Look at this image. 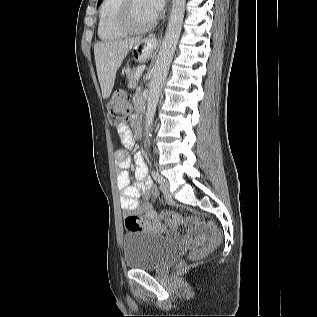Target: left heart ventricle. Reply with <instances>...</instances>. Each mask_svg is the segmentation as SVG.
<instances>
[{
    "mask_svg": "<svg viewBox=\"0 0 317 317\" xmlns=\"http://www.w3.org/2000/svg\"><path fill=\"white\" fill-rule=\"evenodd\" d=\"M131 18L136 26H144L154 19L146 0H132Z\"/></svg>",
    "mask_w": 317,
    "mask_h": 317,
    "instance_id": "left-heart-ventricle-1",
    "label": "left heart ventricle"
}]
</instances>
